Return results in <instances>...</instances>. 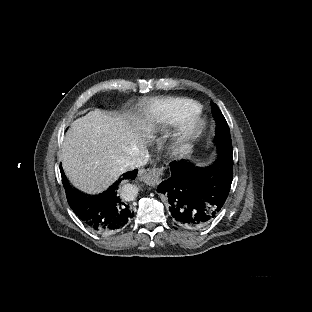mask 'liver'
Returning <instances> with one entry per match:
<instances>
[{
	"label": "liver",
	"instance_id": "obj_1",
	"mask_svg": "<svg viewBox=\"0 0 312 312\" xmlns=\"http://www.w3.org/2000/svg\"><path fill=\"white\" fill-rule=\"evenodd\" d=\"M153 131L150 119L96 109L71 123L58 159L75 188L99 194L127 171L126 162L146 155Z\"/></svg>",
	"mask_w": 312,
	"mask_h": 312
}]
</instances>
